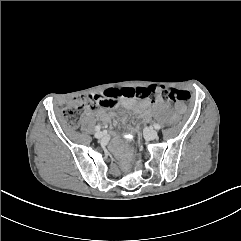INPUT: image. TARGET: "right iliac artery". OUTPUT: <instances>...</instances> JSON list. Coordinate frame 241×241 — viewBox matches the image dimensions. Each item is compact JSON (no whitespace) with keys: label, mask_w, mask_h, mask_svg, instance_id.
Returning a JSON list of instances; mask_svg holds the SVG:
<instances>
[{"label":"right iliac artery","mask_w":241,"mask_h":241,"mask_svg":"<svg viewBox=\"0 0 241 241\" xmlns=\"http://www.w3.org/2000/svg\"><path fill=\"white\" fill-rule=\"evenodd\" d=\"M100 129H101V127H100L99 125H97V126L95 127V130H96V131H100Z\"/></svg>","instance_id":"obj_1"}]
</instances>
